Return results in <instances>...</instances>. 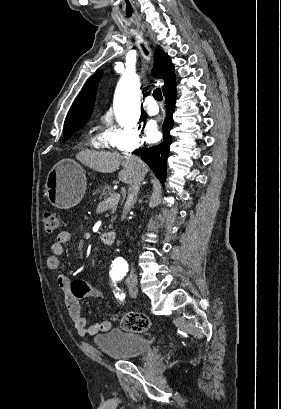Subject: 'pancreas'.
I'll use <instances>...</instances> for the list:
<instances>
[{
	"mask_svg": "<svg viewBox=\"0 0 281 409\" xmlns=\"http://www.w3.org/2000/svg\"><path fill=\"white\" fill-rule=\"evenodd\" d=\"M115 190H112V188H110V186H108V184H104V186H102V190H100V188H97L96 192H93L94 196H96V194H98V192H101V194H99L98 198H108L109 193H114ZM111 209H116V208H111Z\"/></svg>",
	"mask_w": 281,
	"mask_h": 409,
	"instance_id": "cf45deb5",
	"label": "pancreas"
}]
</instances>
